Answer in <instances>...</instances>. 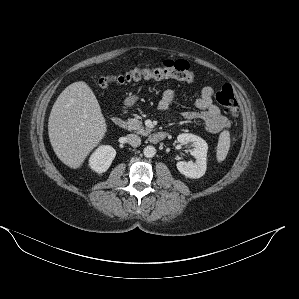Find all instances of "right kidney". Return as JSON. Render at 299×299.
Instances as JSON below:
<instances>
[{
  "label": "right kidney",
  "instance_id": "1",
  "mask_svg": "<svg viewBox=\"0 0 299 299\" xmlns=\"http://www.w3.org/2000/svg\"><path fill=\"white\" fill-rule=\"evenodd\" d=\"M116 156V151L109 145L100 146L90 157L89 165L97 173L108 170Z\"/></svg>",
  "mask_w": 299,
  "mask_h": 299
}]
</instances>
